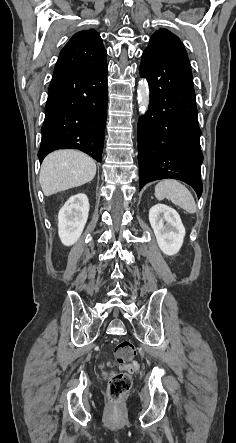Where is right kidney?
Instances as JSON below:
<instances>
[{
	"label": "right kidney",
	"mask_w": 236,
	"mask_h": 443,
	"mask_svg": "<svg viewBox=\"0 0 236 443\" xmlns=\"http://www.w3.org/2000/svg\"><path fill=\"white\" fill-rule=\"evenodd\" d=\"M89 201L83 194L71 196L58 214V234L61 242L71 246L80 238L88 219Z\"/></svg>",
	"instance_id": "ca27d5eb"
}]
</instances>
